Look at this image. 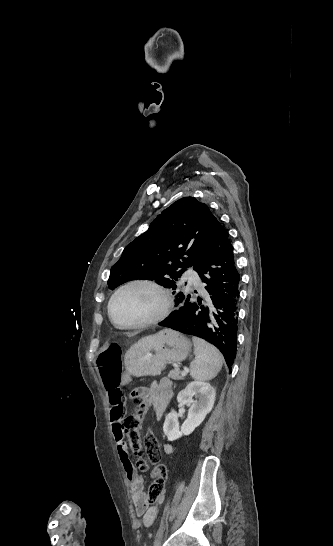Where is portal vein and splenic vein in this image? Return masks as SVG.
Masks as SVG:
<instances>
[{
  "mask_svg": "<svg viewBox=\"0 0 333 546\" xmlns=\"http://www.w3.org/2000/svg\"><path fill=\"white\" fill-rule=\"evenodd\" d=\"M181 375H182V376H186V375H187V372H186V371H183V372L181 373Z\"/></svg>",
  "mask_w": 333,
  "mask_h": 546,
  "instance_id": "portal-vein-and-splenic-vein-1",
  "label": "portal vein and splenic vein"
}]
</instances>
